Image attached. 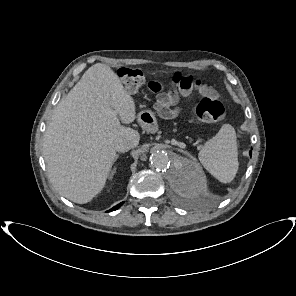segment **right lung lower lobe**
Masks as SVG:
<instances>
[{"label": "right lung lower lobe", "instance_id": "1", "mask_svg": "<svg viewBox=\"0 0 296 296\" xmlns=\"http://www.w3.org/2000/svg\"><path fill=\"white\" fill-rule=\"evenodd\" d=\"M123 203H124V202H122V203H120V204L114 206V207H113L112 209H110L109 211H114V210L118 209L119 207H121V205H122ZM107 212H108V211H107Z\"/></svg>", "mask_w": 296, "mask_h": 296}]
</instances>
